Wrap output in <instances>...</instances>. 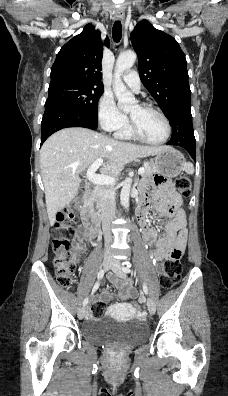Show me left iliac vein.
Returning a JSON list of instances; mask_svg holds the SVG:
<instances>
[{
  "mask_svg": "<svg viewBox=\"0 0 228 396\" xmlns=\"http://www.w3.org/2000/svg\"><path fill=\"white\" fill-rule=\"evenodd\" d=\"M111 269L120 278L126 277V272L123 270V267L121 266V264L118 261L113 262ZM147 307H148V311L150 312V314L155 313V303L151 298L147 299Z\"/></svg>",
  "mask_w": 228,
  "mask_h": 396,
  "instance_id": "4c4485c4",
  "label": "left iliac vein"
}]
</instances>
